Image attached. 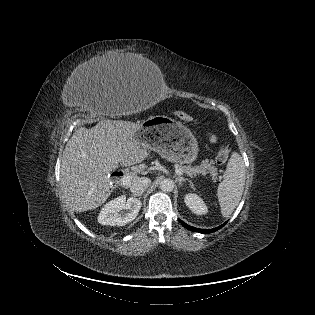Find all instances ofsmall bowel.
<instances>
[{
	"instance_id": "1",
	"label": "small bowel",
	"mask_w": 315,
	"mask_h": 315,
	"mask_svg": "<svg viewBox=\"0 0 315 315\" xmlns=\"http://www.w3.org/2000/svg\"><path fill=\"white\" fill-rule=\"evenodd\" d=\"M211 139H212V141H215V137H213V136H212V138H211Z\"/></svg>"
}]
</instances>
